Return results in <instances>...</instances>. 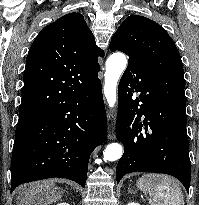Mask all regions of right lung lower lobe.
Wrapping results in <instances>:
<instances>
[{
    "mask_svg": "<svg viewBox=\"0 0 199 205\" xmlns=\"http://www.w3.org/2000/svg\"><path fill=\"white\" fill-rule=\"evenodd\" d=\"M101 81L18 122L11 159V192L20 184L54 177L85 187L91 152L107 135Z\"/></svg>",
    "mask_w": 199,
    "mask_h": 205,
    "instance_id": "obj_1",
    "label": "right lung lower lobe"
}]
</instances>
